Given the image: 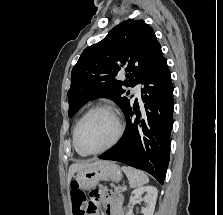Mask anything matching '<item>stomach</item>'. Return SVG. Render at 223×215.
<instances>
[{
  "mask_svg": "<svg viewBox=\"0 0 223 215\" xmlns=\"http://www.w3.org/2000/svg\"><path fill=\"white\" fill-rule=\"evenodd\" d=\"M122 177V171L115 163V161H100L98 165H92V167H85L77 171L76 175H73V179H78L76 187H70L69 190L86 191V189H92L99 181L105 179V181H120Z\"/></svg>",
  "mask_w": 223,
  "mask_h": 215,
  "instance_id": "0dacf381",
  "label": "stomach"
}]
</instances>
